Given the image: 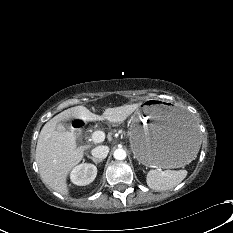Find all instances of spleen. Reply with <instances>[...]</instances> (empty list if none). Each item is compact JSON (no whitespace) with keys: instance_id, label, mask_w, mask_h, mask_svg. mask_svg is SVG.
<instances>
[{"instance_id":"obj_1","label":"spleen","mask_w":233,"mask_h":233,"mask_svg":"<svg viewBox=\"0 0 233 233\" xmlns=\"http://www.w3.org/2000/svg\"><path fill=\"white\" fill-rule=\"evenodd\" d=\"M185 170H150L147 174L146 182L151 189L165 191L174 188L186 176Z\"/></svg>"}]
</instances>
